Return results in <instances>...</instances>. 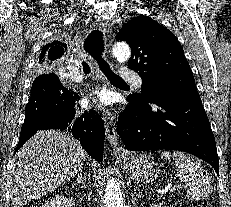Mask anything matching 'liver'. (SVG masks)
<instances>
[{
    "mask_svg": "<svg viewBox=\"0 0 231 207\" xmlns=\"http://www.w3.org/2000/svg\"><path fill=\"white\" fill-rule=\"evenodd\" d=\"M85 160V150L70 134L37 132L15 156L9 177L12 207L53 192L82 170Z\"/></svg>",
    "mask_w": 231,
    "mask_h": 207,
    "instance_id": "liver-1",
    "label": "liver"
}]
</instances>
